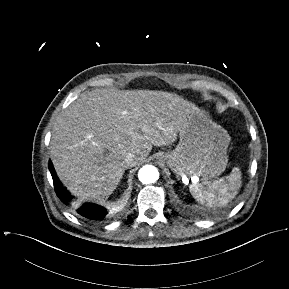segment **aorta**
Returning <instances> with one entry per match:
<instances>
[{
	"label": "aorta",
	"mask_w": 289,
	"mask_h": 289,
	"mask_svg": "<svg viewBox=\"0 0 289 289\" xmlns=\"http://www.w3.org/2000/svg\"><path fill=\"white\" fill-rule=\"evenodd\" d=\"M138 178L143 184L154 183L159 178L158 169L152 165H145L139 170Z\"/></svg>",
	"instance_id": "aorta-1"
}]
</instances>
